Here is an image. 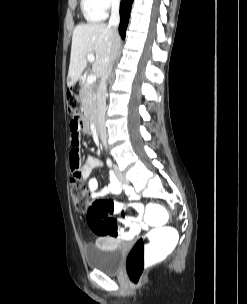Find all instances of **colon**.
Returning <instances> with one entry per match:
<instances>
[{"instance_id": "colon-1", "label": "colon", "mask_w": 247, "mask_h": 304, "mask_svg": "<svg viewBox=\"0 0 247 304\" xmlns=\"http://www.w3.org/2000/svg\"><path fill=\"white\" fill-rule=\"evenodd\" d=\"M79 88L73 87L67 93V108L70 112H79ZM80 120V119H72ZM70 190L76 208L87 214L90 229L98 236L134 239L139 230L134 221L143 218V225H152L148 233L139 238L132 246L126 261L129 280L139 285L147 264L154 259H164V253H173L179 239L177 225H171L174 215L168 214L164 202H141L118 204L111 199H97L89 203L87 188L78 177H72ZM120 212L123 220L110 215Z\"/></svg>"}]
</instances>
